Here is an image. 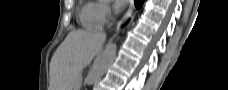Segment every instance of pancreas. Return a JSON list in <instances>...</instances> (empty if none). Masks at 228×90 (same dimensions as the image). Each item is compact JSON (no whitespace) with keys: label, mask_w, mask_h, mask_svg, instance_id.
I'll use <instances>...</instances> for the list:
<instances>
[{"label":"pancreas","mask_w":228,"mask_h":90,"mask_svg":"<svg viewBox=\"0 0 228 90\" xmlns=\"http://www.w3.org/2000/svg\"><path fill=\"white\" fill-rule=\"evenodd\" d=\"M81 82H82L81 78L77 79L75 83L76 88H79L81 86Z\"/></svg>","instance_id":"pancreas-1"}]
</instances>
